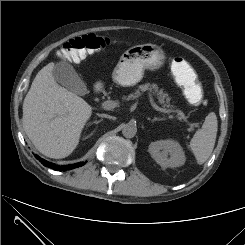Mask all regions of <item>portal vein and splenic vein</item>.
I'll list each match as a JSON object with an SVG mask.
<instances>
[{
    "label": "portal vein and splenic vein",
    "mask_w": 245,
    "mask_h": 245,
    "mask_svg": "<svg viewBox=\"0 0 245 245\" xmlns=\"http://www.w3.org/2000/svg\"><path fill=\"white\" fill-rule=\"evenodd\" d=\"M149 102H150L151 107L153 109H155L156 111H158V112H161V113H164V114H168V115L173 112V111H171L169 109L162 108V107L158 106L154 102L152 97H150ZM102 106H103L104 109L111 110V109H114V108L118 107L119 106V102L117 100H109V101L103 102ZM175 117H177L180 120H184L185 122H187V119H186V117L184 115L175 116ZM189 125H190L191 129L194 128V124H189Z\"/></svg>",
    "instance_id": "obj_1"
}]
</instances>
